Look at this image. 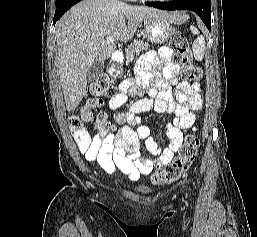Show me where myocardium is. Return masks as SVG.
I'll use <instances>...</instances> for the list:
<instances>
[{
    "instance_id": "myocardium-1",
    "label": "myocardium",
    "mask_w": 257,
    "mask_h": 237,
    "mask_svg": "<svg viewBox=\"0 0 257 237\" xmlns=\"http://www.w3.org/2000/svg\"><path fill=\"white\" fill-rule=\"evenodd\" d=\"M150 1H156V2H168V1H171V0H150Z\"/></svg>"
}]
</instances>
